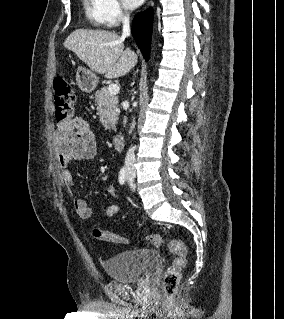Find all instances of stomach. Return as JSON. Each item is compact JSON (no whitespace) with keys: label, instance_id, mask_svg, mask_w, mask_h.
I'll use <instances>...</instances> for the list:
<instances>
[{"label":"stomach","instance_id":"obj_1","mask_svg":"<svg viewBox=\"0 0 284 319\" xmlns=\"http://www.w3.org/2000/svg\"><path fill=\"white\" fill-rule=\"evenodd\" d=\"M76 82L81 91L91 93L97 86L98 77L91 70L78 67Z\"/></svg>","mask_w":284,"mask_h":319}]
</instances>
